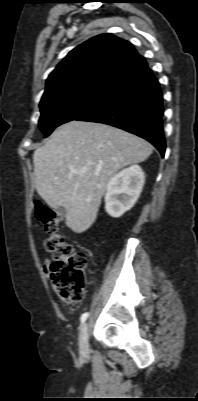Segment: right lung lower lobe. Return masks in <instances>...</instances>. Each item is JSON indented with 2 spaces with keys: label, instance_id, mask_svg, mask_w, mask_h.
<instances>
[{
  "label": "right lung lower lobe",
  "instance_id": "obj_1",
  "mask_svg": "<svg viewBox=\"0 0 198 401\" xmlns=\"http://www.w3.org/2000/svg\"><path fill=\"white\" fill-rule=\"evenodd\" d=\"M160 85L146 62L110 85L100 101L74 120L108 124L152 143L165 153Z\"/></svg>",
  "mask_w": 198,
  "mask_h": 401
}]
</instances>
